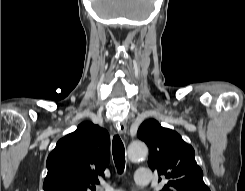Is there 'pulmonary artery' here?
Returning <instances> with one entry per match:
<instances>
[{
	"mask_svg": "<svg viewBox=\"0 0 245 191\" xmlns=\"http://www.w3.org/2000/svg\"><path fill=\"white\" fill-rule=\"evenodd\" d=\"M152 176L148 168H138L135 172V184L139 187L148 186L151 182ZM105 191H124L122 189H114L107 187Z\"/></svg>",
	"mask_w": 245,
	"mask_h": 191,
	"instance_id": "obj_1",
	"label": "pulmonary artery"
}]
</instances>
